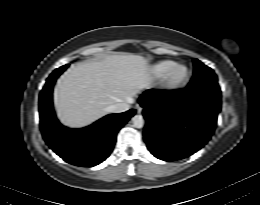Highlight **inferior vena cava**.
Returning a JSON list of instances; mask_svg holds the SVG:
<instances>
[{
	"label": "inferior vena cava",
	"instance_id": "602c4592",
	"mask_svg": "<svg viewBox=\"0 0 260 205\" xmlns=\"http://www.w3.org/2000/svg\"><path fill=\"white\" fill-rule=\"evenodd\" d=\"M132 102H133V100H131V102H129V103H132ZM129 109H130V105L128 104V102H121V103H116L114 105L107 107L106 111L110 112V113H120V112H125Z\"/></svg>",
	"mask_w": 260,
	"mask_h": 205
}]
</instances>
